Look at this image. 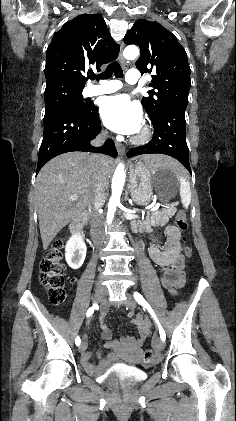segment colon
<instances>
[{
	"label": "colon",
	"instance_id": "colon-1",
	"mask_svg": "<svg viewBox=\"0 0 236 421\" xmlns=\"http://www.w3.org/2000/svg\"><path fill=\"white\" fill-rule=\"evenodd\" d=\"M176 226L182 232L188 230V221L183 211L176 217ZM63 240L56 239L40 262V282L46 288L49 300L54 305H60L65 301V266L63 264ZM186 257L192 256V249L184 248ZM155 352L149 349L145 352V358L151 360Z\"/></svg>",
	"mask_w": 236,
	"mask_h": 421
}]
</instances>
